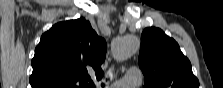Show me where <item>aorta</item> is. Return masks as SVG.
Listing matches in <instances>:
<instances>
[{
	"instance_id": "762f6f07",
	"label": "aorta",
	"mask_w": 223,
	"mask_h": 88,
	"mask_svg": "<svg viewBox=\"0 0 223 88\" xmlns=\"http://www.w3.org/2000/svg\"><path fill=\"white\" fill-rule=\"evenodd\" d=\"M139 40L133 35H126L117 40L113 48V56L117 61H124L137 52Z\"/></svg>"
}]
</instances>
